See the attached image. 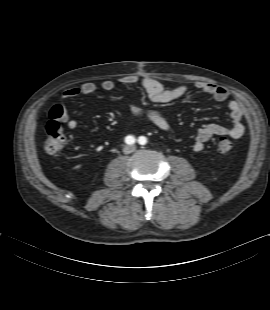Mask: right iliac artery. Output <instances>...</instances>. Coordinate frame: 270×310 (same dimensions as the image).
Here are the masks:
<instances>
[{"label": "right iliac artery", "mask_w": 270, "mask_h": 310, "mask_svg": "<svg viewBox=\"0 0 270 310\" xmlns=\"http://www.w3.org/2000/svg\"><path fill=\"white\" fill-rule=\"evenodd\" d=\"M135 138L133 137V136H127L126 138H125V142L127 143V144H129V145H132V144H134L135 143Z\"/></svg>", "instance_id": "right-iliac-artery-1"}]
</instances>
